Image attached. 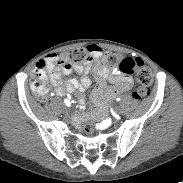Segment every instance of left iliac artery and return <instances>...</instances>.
Returning a JSON list of instances; mask_svg holds the SVG:
<instances>
[{
    "label": "left iliac artery",
    "mask_w": 183,
    "mask_h": 183,
    "mask_svg": "<svg viewBox=\"0 0 183 183\" xmlns=\"http://www.w3.org/2000/svg\"><path fill=\"white\" fill-rule=\"evenodd\" d=\"M121 99L118 97L117 99H116V101H120Z\"/></svg>",
    "instance_id": "obj_1"
}]
</instances>
